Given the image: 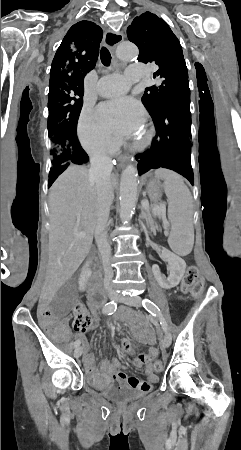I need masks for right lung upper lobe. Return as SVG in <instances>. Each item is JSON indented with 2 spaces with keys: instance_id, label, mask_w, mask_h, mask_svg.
<instances>
[{
  "instance_id": "1",
  "label": "right lung upper lobe",
  "mask_w": 241,
  "mask_h": 450,
  "mask_svg": "<svg viewBox=\"0 0 241 450\" xmlns=\"http://www.w3.org/2000/svg\"><path fill=\"white\" fill-rule=\"evenodd\" d=\"M101 27L90 21L74 24L60 44L50 70L49 91L62 85L84 90V77L99 55Z\"/></svg>"
}]
</instances>
